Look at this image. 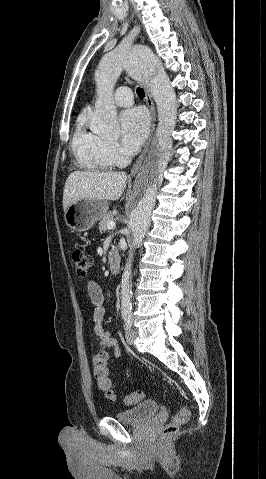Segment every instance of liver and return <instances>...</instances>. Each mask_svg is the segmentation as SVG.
<instances>
[{
    "mask_svg": "<svg viewBox=\"0 0 266 479\" xmlns=\"http://www.w3.org/2000/svg\"><path fill=\"white\" fill-rule=\"evenodd\" d=\"M124 172L74 171L63 190V210L80 199L118 200L126 187Z\"/></svg>",
    "mask_w": 266,
    "mask_h": 479,
    "instance_id": "liver-1",
    "label": "liver"
}]
</instances>
